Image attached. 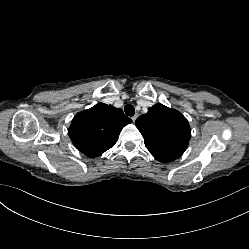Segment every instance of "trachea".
<instances>
[{
    "label": "trachea",
    "instance_id": "obj_1",
    "mask_svg": "<svg viewBox=\"0 0 249 249\" xmlns=\"http://www.w3.org/2000/svg\"><path fill=\"white\" fill-rule=\"evenodd\" d=\"M124 111L128 116H133L135 114V109L131 104H127L124 107Z\"/></svg>",
    "mask_w": 249,
    "mask_h": 249
}]
</instances>
